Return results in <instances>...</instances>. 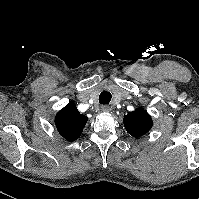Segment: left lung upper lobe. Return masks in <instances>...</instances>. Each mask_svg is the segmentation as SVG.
Returning <instances> with one entry per match:
<instances>
[{"instance_id": "left-lung-upper-lobe-1", "label": "left lung upper lobe", "mask_w": 199, "mask_h": 199, "mask_svg": "<svg viewBox=\"0 0 199 199\" xmlns=\"http://www.w3.org/2000/svg\"><path fill=\"white\" fill-rule=\"evenodd\" d=\"M123 122L127 132L135 138L147 133L153 125L151 116L143 108L127 114Z\"/></svg>"}]
</instances>
